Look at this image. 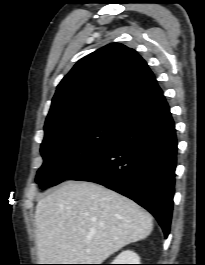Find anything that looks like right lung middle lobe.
Listing matches in <instances>:
<instances>
[{"instance_id":"right-lung-middle-lobe-1","label":"right lung middle lobe","mask_w":205,"mask_h":265,"mask_svg":"<svg viewBox=\"0 0 205 265\" xmlns=\"http://www.w3.org/2000/svg\"><path fill=\"white\" fill-rule=\"evenodd\" d=\"M120 127L117 123L97 122L45 133L40 149L44 162L37 172L36 182L45 189L68 179L95 158Z\"/></svg>"}]
</instances>
